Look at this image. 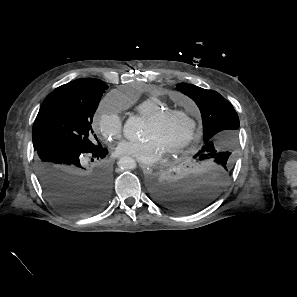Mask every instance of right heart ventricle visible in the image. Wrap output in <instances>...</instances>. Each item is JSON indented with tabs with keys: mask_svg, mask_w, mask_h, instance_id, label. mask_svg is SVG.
<instances>
[{
	"mask_svg": "<svg viewBox=\"0 0 297 297\" xmlns=\"http://www.w3.org/2000/svg\"><path fill=\"white\" fill-rule=\"evenodd\" d=\"M136 110L142 117L148 120L158 113L168 110V105L159 97H148L136 106Z\"/></svg>",
	"mask_w": 297,
	"mask_h": 297,
	"instance_id": "obj_1",
	"label": "right heart ventricle"
}]
</instances>
